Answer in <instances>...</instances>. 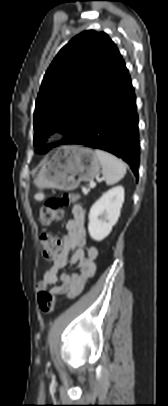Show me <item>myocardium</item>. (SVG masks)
Listing matches in <instances>:
<instances>
[{"instance_id":"myocardium-1","label":"myocardium","mask_w":168,"mask_h":406,"mask_svg":"<svg viewBox=\"0 0 168 406\" xmlns=\"http://www.w3.org/2000/svg\"><path fill=\"white\" fill-rule=\"evenodd\" d=\"M53 139H54V136H50V137H49V140H53Z\"/></svg>"}]
</instances>
